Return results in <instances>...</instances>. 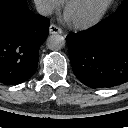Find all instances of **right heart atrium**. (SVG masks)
<instances>
[{"instance_id":"d8ad5b80","label":"right heart atrium","mask_w":128,"mask_h":128,"mask_svg":"<svg viewBox=\"0 0 128 128\" xmlns=\"http://www.w3.org/2000/svg\"><path fill=\"white\" fill-rule=\"evenodd\" d=\"M38 8L44 14H50L60 9L62 5L61 0H35Z\"/></svg>"}]
</instances>
